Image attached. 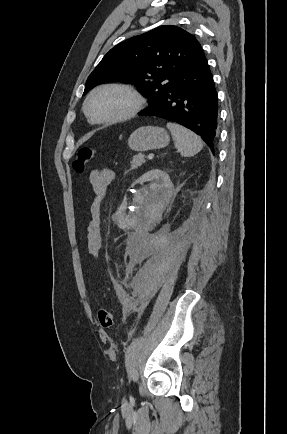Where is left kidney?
Instances as JSON below:
<instances>
[{
    "label": "left kidney",
    "instance_id": "1",
    "mask_svg": "<svg viewBox=\"0 0 287 434\" xmlns=\"http://www.w3.org/2000/svg\"><path fill=\"white\" fill-rule=\"evenodd\" d=\"M139 181H151L148 189H141L134 194V212L126 214V205L119 208V223L123 227L136 226L150 211L165 207L174 192V185L167 172L154 169L140 177Z\"/></svg>",
    "mask_w": 287,
    "mask_h": 434
}]
</instances>
